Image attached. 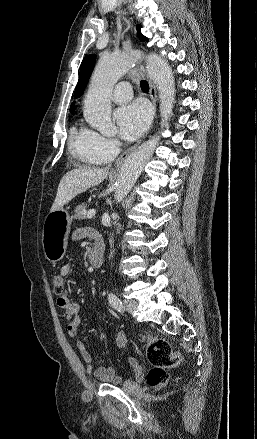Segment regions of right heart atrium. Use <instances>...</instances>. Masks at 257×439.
<instances>
[{
  "label": "right heart atrium",
  "instance_id": "right-heart-atrium-1",
  "mask_svg": "<svg viewBox=\"0 0 257 439\" xmlns=\"http://www.w3.org/2000/svg\"><path fill=\"white\" fill-rule=\"evenodd\" d=\"M119 142L116 138L108 137L95 131H90V148L101 160L108 161L117 152Z\"/></svg>",
  "mask_w": 257,
  "mask_h": 439
}]
</instances>
